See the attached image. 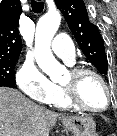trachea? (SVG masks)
I'll list each match as a JSON object with an SVG mask.
<instances>
[{
	"mask_svg": "<svg viewBox=\"0 0 117 136\" xmlns=\"http://www.w3.org/2000/svg\"><path fill=\"white\" fill-rule=\"evenodd\" d=\"M31 7H32V11L34 13L39 14L43 11L44 4H43V2H37V1L33 0L31 2Z\"/></svg>",
	"mask_w": 117,
	"mask_h": 136,
	"instance_id": "trachea-1",
	"label": "trachea"
}]
</instances>
